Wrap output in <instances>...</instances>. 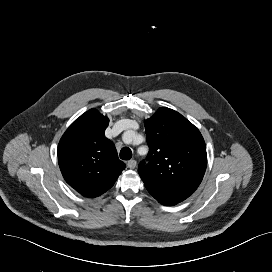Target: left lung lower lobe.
<instances>
[{"label":"left lung lower lobe","mask_w":272,"mask_h":272,"mask_svg":"<svg viewBox=\"0 0 272 272\" xmlns=\"http://www.w3.org/2000/svg\"><path fill=\"white\" fill-rule=\"evenodd\" d=\"M145 187L148 190V192L158 202H160L163 205H167V206L175 205V204L185 200L186 198H188L187 196L177 193V192L164 190V189H160V188H156V187H151L148 185H145Z\"/></svg>","instance_id":"obj_1"}]
</instances>
